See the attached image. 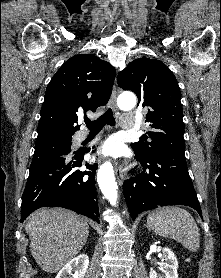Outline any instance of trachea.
<instances>
[{"mask_svg":"<svg viewBox=\"0 0 221 278\" xmlns=\"http://www.w3.org/2000/svg\"><path fill=\"white\" fill-rule=\"evenodd\" d=\"M85 124L90 132L100 131L106 124L114 126L115 118L112 109L108 108L106 112L95 121L85 120Z\"/></svg>","mask_w":221,"mask_h":278,"instance_id":"1","label":"trachea"}]
</instances>
